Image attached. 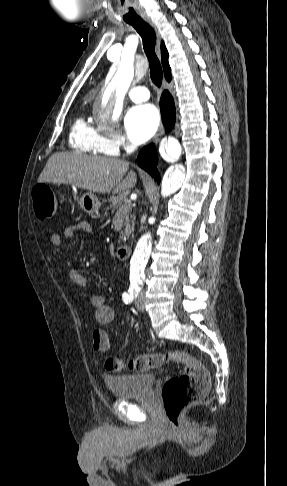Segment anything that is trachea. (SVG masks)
I'll list each match as a JSON object with an SVG mask.
<instances>
[{"label":"trachea","mask_w":287,"mask_h":486,"mask_svg":"<svg viewBox=\"0 0 287 486\" xmlns=\"http://www.w3.org/2000/svg\"><path fill=\"white\" fill-rule=\"evenodd\" d=\"M128 24L132 25L140 34L143 41V48L149 61L151 80L156 86L160 87L162 83V68L155 53V31L141 18L129 21Z\"/></svg>","instance_id":"3493384b"}]
</instances>
